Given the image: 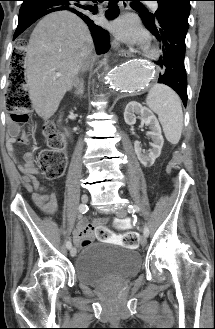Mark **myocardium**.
<instances>
[{
    "instance_id": "myocardium-1",
    "label": "myocardium",
    "mask_w": 215,
    "mask_h": 329,
    "mask_svg": "<svg viewBox=\"0 0 215 329\" xmlns=\"http://www.w3.org/2000/svg\"><path fill=\"white\" fill-rule=\"evenodd\" d=\"M146 56L150 59H157L160 56V52L156 48H152L147 51Z\"/></svg>"
}]
</instances>
